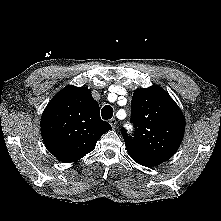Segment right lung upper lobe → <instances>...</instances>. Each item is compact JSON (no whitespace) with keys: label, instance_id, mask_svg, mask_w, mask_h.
Listing matches in <instances>:
<instances>
[{"label":"right lung upper lobe","instance_id":"right-lung-upper-lobe-1","mask_svg":"<svg viewBox=\"0 0 221 221\" xmlns=\"http://www.w3.org/2000/svg\"><path fill=\"white\" fill-rule=\"evenodd\" d=\"M111 125L100 118L99 104L86 87L67 86L46 106L41 134L48 150L62 162H76L91 152Z\"/></svg>","mask_w":221,"mask_h":221}]
</instances>
